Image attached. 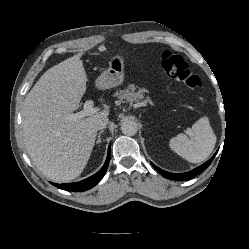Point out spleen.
Listing matches in <instances>:
<instances>
[{"label":"spleen","instance_id":"1","mask_svg":"<svg viewBox=\"0 0 249 249\" xmlns=\"http://www.w3.org/2000/svg\"><path fill=\"white\" fill-rule=\"evenodd\" d=\"M216 140L208 118L202 117L192 125L189 137L185 134H178L171 138L170 148L185 160L199 163L211 154Z\"/></svg>","mask_w":249,"mask_h":249}]
</instances>
